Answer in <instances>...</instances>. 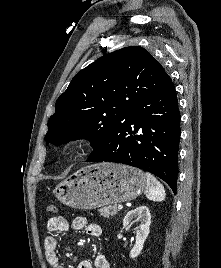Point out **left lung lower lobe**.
Segmentation results:
<instances>
[{"label":"left lung lower lobe","mask_w":221,"mask_h":268,"mask_svg":"<svg viewBox=\"0 0 221 268\" xmlns=\"http://www.w3.org/2000/svg\"><path fill=\"white\" fill-rule=\"evenodd\" d=\"M180 112L171 81L129 109L87 162H116L147 170L176 192Z\"/></svg>","instance_id":"left-lung-lower-lobe-1"}]
</instances>
